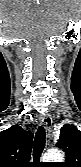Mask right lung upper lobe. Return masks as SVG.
<instances>
[{
    "label": "right lung upper lobe",
    "mask_w": 81,
    "mask_h": 167,
    "mask_svg": "<svg viewBox=\"0 0 81 167\" xmlns=\"http://www.w3.org/2000/svg\"><path fill=\"white\" fill-rule=\"evenodd\" d=\"M33 133L19 125L0 132V167H30Z\"/></svg>",
    "instance_id": "1"
}]
</instances>
